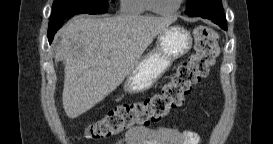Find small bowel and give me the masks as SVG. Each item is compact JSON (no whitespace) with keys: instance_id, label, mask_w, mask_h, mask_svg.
Returning <instances> with one entry per match:
<instances>
[{"instance_id":"1","label":"small bowel","mask_w":273,"mask_h":144,"mask_svg":"<svg viewBox=\"0 0 273 144\" xmlns=\"http://www.w3.org/2000/svg\"><path fill=\"white\" fill-rule=\"evenodd\" d=\"M198 133L172 127L133 128L115 144H199Z\"/></svg>"}]
</instances>
